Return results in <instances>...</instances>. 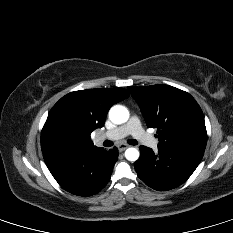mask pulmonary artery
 Wrapping results in <instances>:
<instances>
[{
	"mask_svg": "<svg viewBox=\"0 0 233 233\" xmlns=\"http://www.w3.org/2000/svg\"><path fill=\"white\" fill-rule=\"evenodd\" d=\"M128 135H132L140 143L153 149L157 148L158 146V140L144 131V129L141 127L139 119L136 116L131 117L126 124L107 131L103 137L111 140H118Z\"/></svg>",
	"mask_w": 233,
	"mask_h": 233,
	"instance_id": "obj_1",
	"label": "pulmonary artery"
}]
</instances>
